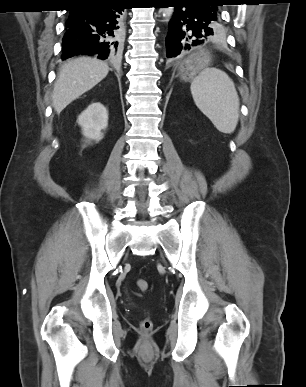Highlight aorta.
Returning a JSON list of instances; mask_svg holds the SVG:
<instances>
[{
	"mask_svg": "<svg viewBox=\"0 0 306 387\" xmlns=\"http://www.w3.org/2000/svg\"><path fill=\"white\" fill-rule=\"evenodd\" d=\"M162 13L166 19H169L174 13V7H164L162 8Z\"/></svg>",
	"mask_w": 306,
	"mask_h": 387,
	"instance_id": "obj_1",
	"label": "aorta"
}]
</instances>
